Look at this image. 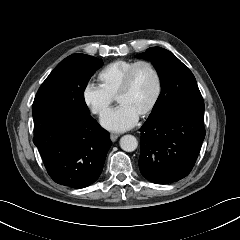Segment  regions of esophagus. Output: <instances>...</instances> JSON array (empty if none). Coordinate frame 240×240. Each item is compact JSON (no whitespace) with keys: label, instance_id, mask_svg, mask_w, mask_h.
I'll return each mask as SVG.
<instances>
[{"label":"esophagus","instance_id":"esophagus-1","mask_svg":"<svg viewBox=\"0 0 240 240\" xmlns=\"http://www.w3.org/2000/svg\"><path fill=\"white\" fill-rule=\"evenodd\" d=\"M119 136H120V135H119V134H116V133H111V134H110V138H111V140H112L113 142H115Z\"/></svg>","mask_w":240,"mask_h":240}]
</instances>
